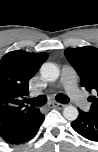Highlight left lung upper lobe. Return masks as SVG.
<instances>
[{"label": "left lung upper lobe", "instance_id": "obj_1", "mask_svg": "<svg viewBox=\"0 0 98 152\" xmlns=\"http://www.w3.org/2000/svg\"><path fill=\"white\" fill-rule=\"evenodd\" d=\"M65 55L80 77L81 86L93 96L89 112L98 116V49L91 46L69 48Z\"/></svg>", "mask_w": 98, "mask_h": 152}]
</instances>
